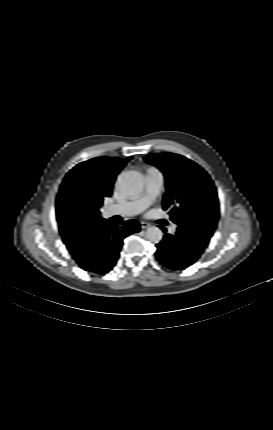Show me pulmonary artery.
Listing matches in <instances>:
<instances>
[{
	"label": "pulmonary artery",
	"instance_id": "obj_1",
	"mask_svg": "<svg viewBox=\"0 0 273 430\" xmlns=\"http://www.w3.org/2000/svg\"><path fill=\"white\" fill-rule=\"evenodd\" d=\"M164 176L158 169H149L146 173V189L145 192L138 198L131 201L116 203L106 207L105 213L107 216H133L139 214L146 209L160 194L163 188ZM176 227L170 228V233H174Z\"/></svg>",
	"mask_w": 273,
	"mask_h": 430
}]
</instances>
